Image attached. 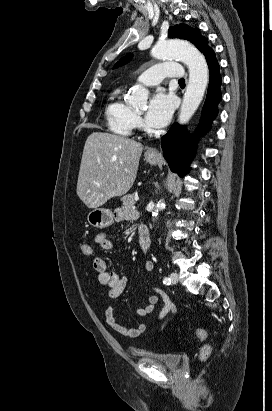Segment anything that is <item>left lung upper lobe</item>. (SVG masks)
Segmentation results:
<instances>
[{"mask_svg":"<svg viewBox=\"0 0 272 411\" xmlns=\"http://www.w3.org/2000/svg\"><path fill=\"white\" fill-rule=\"evenodd\" d=\"M168 36L169 38L186 39L192 42L204 55L211 50V48L207 46V38L202 37L198 29H192L185 24L170 27ZM131 58V54L124 56L119 62L116 63L114 67H118L119 65L129 62Z\"/></svg>","mask_w":272,"mask_h":411,"instance_id":"1","label":"left lung upper lobe"}]
</instances>
